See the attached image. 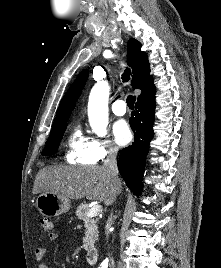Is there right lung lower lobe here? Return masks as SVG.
Masks as SVG:
<instances>
[{"label":"right lung lower lobe","mask_w":221,"mask_h":268,"mask_svg":"<svg viewBox=\"0 0 221 268\" xmlns=\"http://www.w3.org/2000/svg\"><path fill=\"white\" fill-rule=\"evenodd\" d=\"M155 105V94L136 103V111L132 113L129 120L134 131V142L120 152L118 160L120 174L137 196L140 195L146 156L154 135L152 127Z\"/></svg>","instance_id":"1"}]
</instances>
